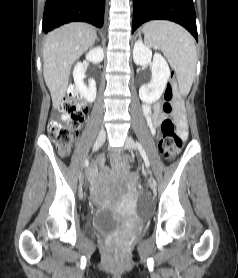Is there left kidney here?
<instances>
[{"mask_svg":"<svg viewBox=\"0 0 238 278\" xmlns=\"http://www.w3.org/2000/svg\"><path fill=\"white\" fill-rule=\"evenodd\" d=\"M133 60L137 65L151 64L152 66L151 81L142 85L139 89L141 101L152 104L161 97L166 88L171 74L169 66L159 53H155L152 59V51L141 40L136 41L134 44Z\"/></svg>","mask_w":238,"mask_h":278,"instance_id":"1","label":"left kidney"}]
</instances>
